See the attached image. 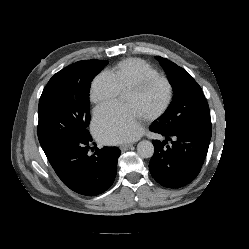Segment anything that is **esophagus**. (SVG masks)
Masks as SVG:
<instances>
[{
  "label": "esophagus",
  "mask_w": 249,
  "mask_h": 249,
  "mask_svg": "<svg viewBox=\"0 0 249 249\" xmlns=\"http://www.w3.org/2000/svg\"><path fill=\"white\" fill-rule=\"evenodd\" d=\"M131 147H132L131 144H122V145L119 146V148H120V150H121L122 152L127 151V150L130 149Z\"/></svg>",
  "instance_id": "34e87169"
}]
</instances>
